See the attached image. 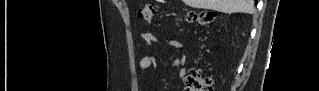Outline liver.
I'll list each match as a JSON object with an SVG mask.
<instances>
[{
	"label": "liver",
	"instance_id": "liver-1",
	"mask_svg": "<svg viewBox=\"0 0 319 91\" xmlns=\"http://www.w3.org/2000/svg\"><path fill=\"white\" fill-rule=\"evenodd\" d=\"M184 3L193 8L210 9L227 14L249 13L254 9V0H184Z\"/></svg>",
	"mask_w": 319,
	"mask_h": 91
}]
</instances>
